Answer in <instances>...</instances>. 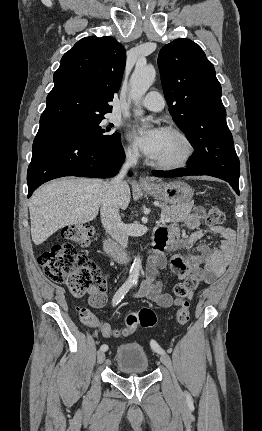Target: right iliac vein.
Masks as SVG:
<instances>
[{"label": "right iliac vein", "instance_id": "obj_1", "mask_svg": "<svg viewBox=\"0 0 262 431\" xmlns=\"http://www.w3.org/2000/svg\"><path fill=\"white\" fill-rule=\"evenodd\" d=\"M105 353L104 351H99L98 352V357H97V361L99 364L103 363L105 361Z\"/></svg>", "mask_w": 262, "mask_h": 431}]
</instances>
